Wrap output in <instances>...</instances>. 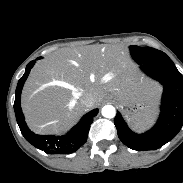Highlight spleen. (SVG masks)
I'll return each instance as SVG.
<instances>
[{
	"mask_svg": "<svg viewBox=\"0 0 183 183\" xmlns=\"http://www.w3.org/2000/svg\"><path fill=\"white\" fill-rule=\"evenodd\" d=\"M156 113H149L142 121L134 123L136 130H144L151 126L155 120Z\"/></svg>",
	"mask_w": 183,
	"mask_h": 183,
	"instance_id": "1",
	"label": "spleen"
}]
</instances>
